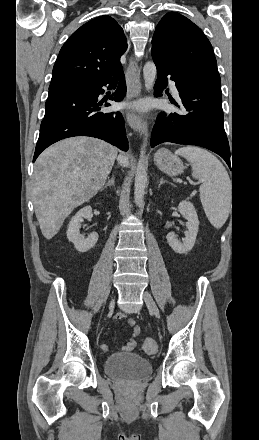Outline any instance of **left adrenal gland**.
<instances>
[{
    "mask_svg": "<svg viewBox=\"0 0 259 440\" xmlns=\"http://www.w3.org/2000/svg\"><path fill=\"white\" fill-rule=\"evenodd\" d=\"M158 182H159L158 187H160L164 183H167V181H165L163 178H161Z\"/></svg>",
    "mask_w": 259,
    "mask_h": 440,
    "instance_id": "obj_1",
    "label": "left adrenal gland"
}]
</instances>
